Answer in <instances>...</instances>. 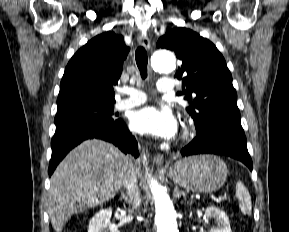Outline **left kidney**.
I'll use <instances>...</instances> for the list:
<instances>
[{"label":"left kidney","mask_w":289,"mask_h":232,"mask_svg":"<svg viewBox=\"0 0 289 232\" xmlns=\"http://www.w3.org/2000/svg\"><path fill=\"white\" fill-rule=\"evenodd\" d=\"M205 217L214 218L216 220L218 228L213 229L212 232H232L227 215L219 208L207 207L205 210Z\"/></svg>","instance_id":"5707ae66"}]
</instances>
